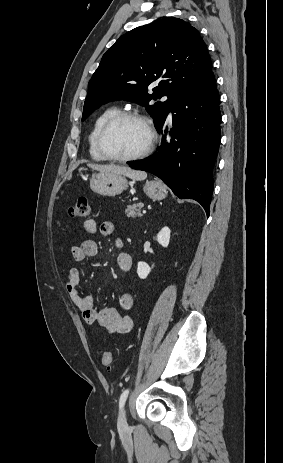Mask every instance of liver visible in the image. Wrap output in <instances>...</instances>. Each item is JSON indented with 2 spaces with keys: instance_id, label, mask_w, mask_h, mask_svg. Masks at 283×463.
Wrapping results in <instances>:
<instances>
[{
  "instance_id": "obj_1",
  "label": "liver",
  "mask_w": 283,
  "mask_h": 463,
  "mask_svg": "<svg viewBox=\"0 0 283 463\" xmlns=\"http://www.w3.org/2000/svg\"><path fill=\"white\" fill-rule=\"evenodd\" d=\"M88 166L96 171L101 173H111V174H119L126 177H129L133 180H144L147 178V173L144 171H137L133 170L126 166H120L115 164L109 165H100V164H88Z\"/></svg>"
}]
</instances>
